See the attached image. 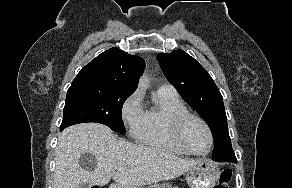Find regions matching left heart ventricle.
Masks as SVG:
<instances>
[{"label":"left heart ventricle","mask_w":292,"mask_h":188,"mask_svg":"<svg viewBox=\"0 0 292 188\" xmlns=\"http://www.w3.org/2000/svg\"><path fill=\"white\" fill-rule=\"evenodd\" d=\"M183 138L187 146L199 153L207 151L209 137L205 127L197 120H190L184 127Z\"/></svg>","instance_id":"obj_1"}]
</instances>
